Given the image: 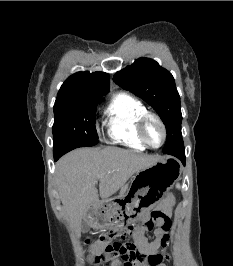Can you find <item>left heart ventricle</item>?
Instances as JSON below:
<instances>
[{
    "label": "left heart ventricle",
    "mask_w": 233,
    "mask_h": 266,
    "mask_svg": "<svg viewBox=\"0 0 233 266\" xmlns=\"http://www.w3.org/2000/svg\"><path fill=\"white\" fill-rule=\"evenodd\" d=\"M145 133L152 145L157 146L161 143L163 132L157 121L150 119L146 124Z\"/></svg>",
    "instance_id": "1"
}]
</instances>
